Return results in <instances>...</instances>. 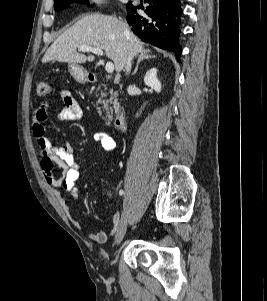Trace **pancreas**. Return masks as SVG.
I'll return each mask as SVG.
<instances>
[{
  "label": "pancreas",
  "mask_w": 267,
  "mask_h": 301,
  "mask_svg": "<svg viewBox=\"0 0 267 301\" xmlns=\"http://www.w3.org/2000/svg\"><path fill=\"white\" fill-rule=\"evenodd\" d=\"M97 90H99V88ZM97 96H100L98 98V101H97V105H98L97 110H98V113L101 114L102 113V109H103V111H106V116L103 117V119H105L106 122L110 123L111 120H112V116L110 115V112H112V107L110 105L112 104L114 107L118 106L117 93L114 92L112 89H110L108 91L107 87L105 86V90L104 91H100L97 94ZM107 96H109V99L106 98ZM100 105H103L102 108L99 107Z\"/></svg>",
  "instance_id": "pancreas-1"
}]
</instances>
